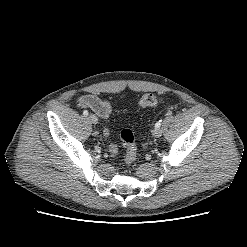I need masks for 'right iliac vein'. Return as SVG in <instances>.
<instances>
[{
  "label": "right iliac vein",
  "instance_id": "right-iliac-vein-1",
  "mask_svg": "<svg viewBox=\"0 0 247 247\" xmlns=\"http://www.w3.org/2000/svg\"><path fill=\"white\" fill-rule=\"evenodd\" d=\"M88 119H89L90 122L93 123V124H97V123H98V118H97V116L94 115V114H90V115L88 116Z\"/></svg>",
  "mask_w": 247,
  "mask_h": 247
}]
</instances>
